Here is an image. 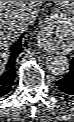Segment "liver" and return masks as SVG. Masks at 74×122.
<instances>
[{"mask_svg": "<svg viewBox=\"0 0 74 122\" xmlns=\"http://www.w3.org/2000/svg\"><path fill=\"white\" fill-rule=\"evenodd\" d=\"M42 1H0V67L1 71L9 58L11 45L27 29L20 25L34 9L39 11Z\"/></svg>", "mask_w": 74, "mask_h": 122, "instance_id": "obj_1", "label": "liver"}]
</instances>
